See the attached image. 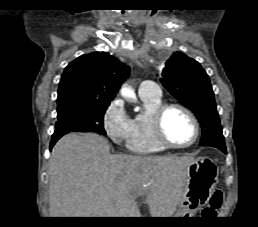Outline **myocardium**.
I'll use <instances>...</instances> for the list:
<instances>
[{"instance_id": "obj_1", "label": "myocardium", "mask_w": 258, "mask_h": 227, "mask_svg": "<svg viewBox=\"0 0 258 227\" xmlns=\"http://www.w3.org/2000/svg\"><path fill=\"white\" fill-rule=\"evenodd\" d=\"M171 109H179L183 111L191 120L193 127H194V137L192 138L191 141L188 143L184 144H178L170 140L165 132H164V118L166 114L171 110ZM151 125H152V130L154 133V136L157 140L158 143L163 145L164 147H170V148H188L192 145H194L200 136V125L199 122L194 115V113L188 109L186 106L177 104V103H170V104H162L158 108L154 110L152 113L151 117Z\"/></svg>"}]
</instances>
